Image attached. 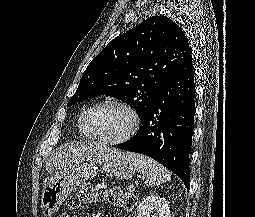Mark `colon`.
<instances>
[{"label":"colon","instance_id":"obj_1","mask_svg":"<svg viewBox=\"0 0 255 217\" xmlns=\"http://www.w3.org/2000/svg\"><path fill=\"white\" fill-rule=\"evenodd\" d=\"M93 202H107L114 207L130 211L135 206L136 197L132 193L123 192L118 187L84 185L69 197L67 204L71 210H76ZM61 217L71 216L64 213Z\"/></svg>","mask_w":255,"mask_h":217}]
</instances>
